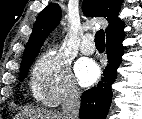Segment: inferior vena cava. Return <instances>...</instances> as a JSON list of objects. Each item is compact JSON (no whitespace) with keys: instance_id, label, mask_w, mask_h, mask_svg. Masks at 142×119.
<instances>
[{"instance_id":"602c4592","label":"inferior vena cava","mask_w":142,"mask_h":119,"mask_svg":"<svg viewBox=\"0 0 142 119\" xmlns=\"http://www.w3.org/2000/svg\"><path fill=\"white\" fill-rule=\"evenodd\" d=\"M62 116L64 119H79L80 94L75 85H70L62 102Z\"/></svg>"}]
</instances>
